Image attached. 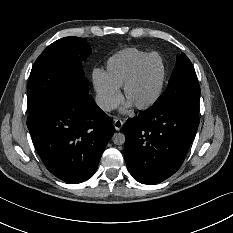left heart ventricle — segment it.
I'll use <instances>...</instances> for the list:
<instances>
[{
    "label": "left heart ventricle",
    "mask_w": 233,
    "mask_h": 233,
    "mask_svg": "<svg viewBox=\"0 0 233 233\" xmlns=\"http://www.w3.org/2000/svg\"><path fill=\"white\" fill-rule=\"evenodd\" d=\"M164 77V62L155 56L145 66L128 91V99L134 105L149 103L157 95Z\"/></svg>",
    "instance_id": "1"
}]
</instances>
